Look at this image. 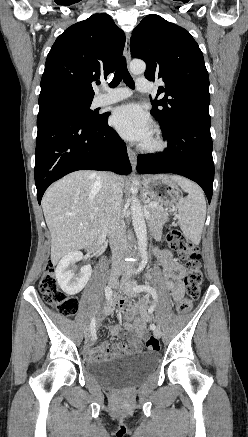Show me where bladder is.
<instances>
[{
  "instance_id": "obj_1",
  "label": "bladder",
  "mask_w": 248,
  "mask_h": 437,
  "mask_svg": "<svg viewBox=\"0 0 248 437\" xmlns=\"http://www.w3.org/2000/svg\"><path fill=\"white\" fill-rule=\"evenodd\" d=\"M157 361L154 352L122 354L89 364L87 374L106 386H130L152 372Z\"/></svg>"
}]
</instances>
